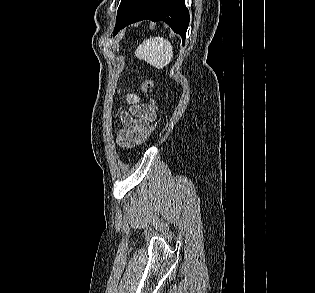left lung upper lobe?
I'll return each mask as SVG.
<instances>
[{
	"label": "left lung upper lobe",
	"instance_id": "5c2ea615",
	"mask_svg": "<svg viewBox=\"0 0 315 293\" xmlns=\"http://www.w3.org/2000/svg\"><path fill=\"white\" fill-rule=\"evenodd\" d=\"M138 2L139 0H121L117 13L116 27L118 22L125 17Z\"/></svg>",
	"mask_w": 315,
	"mask_h": 293
}]
</instances>
